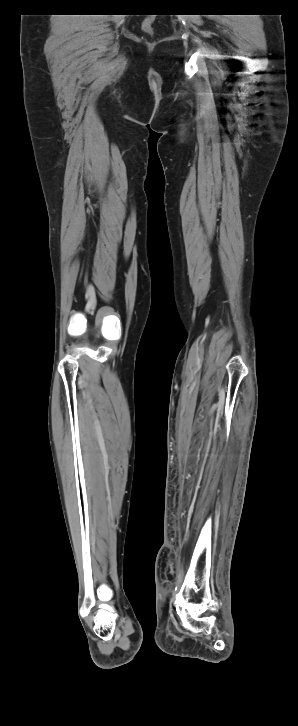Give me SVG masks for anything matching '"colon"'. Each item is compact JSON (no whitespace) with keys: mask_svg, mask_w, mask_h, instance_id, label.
I'll return each instance as SVG.
<instances>
[{"mask_svg":"<svg viewBox=\"0 0 298 726\" xmlns=\"http://www.w3.org/2000/svg\"><path fill=\"white\" fill-rule=\"evenodd\" d=\"M152 23H153V20L151 18L145 19L142 23L143 30L148 34L153 33Z\"/></svg>","mask_w":298,"mask_h":726,"instance_id":"obj_1","label":"colon"}]
</instances>
